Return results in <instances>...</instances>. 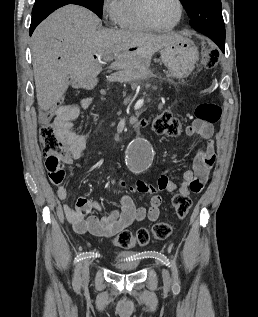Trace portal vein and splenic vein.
<instances>
[{
    "mask_svg": "<svg viewBox=\"0 0 258 317\" xmlns=\"http://www.w3.org/2000/svg\"><path fill=\"white\" fill-rule=\"evenodd\" d=\"M104 60H112V56H104Z\"/></svg>",
    "mask_w": 258,
    "mask_h": 317,
    "instance_id": "portal-vein-and-splenic-vein-1",
    "label": "portal vein and splenic vein"
}]
</instances>
